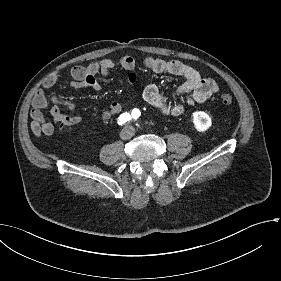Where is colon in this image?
<instances>
[{
  "label": "colon",
  "mask_w": 281,
  "mask_h": 281,
  "mask_svg": "<svg viewBox=\"0 0 281 281\" xmlns=\"http://www.w3.org/2000/svg\"><path fill=\"white\" fill-rule=\"evenodd\" d=\"M220 101L224 105H230L233 102V98L232 96L225 94L220 97Z\"/></svg>",
  "instance_id": "5ec220e1"
}]
</instances>
